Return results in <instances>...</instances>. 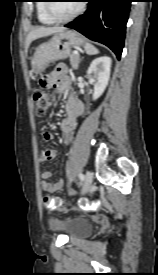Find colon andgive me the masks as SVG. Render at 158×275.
I'll use <instances>...</instances> for the list:
<instances>
[{
  "label": "colon",
  "instance_id": "1",
  "mask_svg": "<svg viewBox=\"0 0 158 275\" xmlns=\"http://www.w3.org/2000/svg\"><path fill=\"white\" fill-rule=\"evenodd\" d=\"M48 80L45 78L40 79V85L42 89H38L33 93V101L35 105V113L37 116H43L45 115L53 103V98L50 93L46 91V88L48 87ZM43 204L44 207L47 210H60L62 209V202L58 197L51 196V195H45L43 197ZM93 207V204H91L88 201L82 202V208L83 209H90Z\"/></svg>",
  "mask_w": 158,
  "mask_h": 275
}]
</instances>
